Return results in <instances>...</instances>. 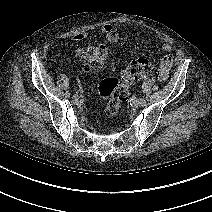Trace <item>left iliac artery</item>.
<instances>
[{"label":"left iliac artery","mask_w":212,"mask_h":212,"mask_svg":"<svg viewBox=\"0 0 212 212\" xmlns=\"http://www.w3.org/2000/svg\"><path fill=\"white\" fill-rule=\"evenodd\" d=\"M140 104H141V106H146L147 102H146V100L144 98H141L140 99Z\"/></svg>","instance_id":"left-iliac-artery-1"}]
</instances>
